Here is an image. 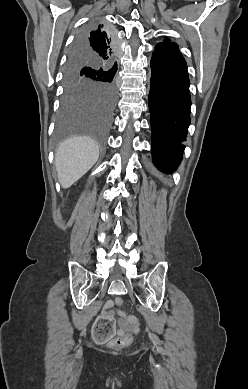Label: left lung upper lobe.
<instances>
[{
	"label": "left lung upper lobe",
	"mask_w": 248,
	"mask_h": 389,
	"mask_svg": "<svg viewBox=\"0 0 248 389\" xmlns=\"http://www.w3.org/2000/svg\"><path fill=\"white\" fill-rule=\"evenodd\" d=\"M159 44H173L170 40H165L163 41L162 43H159Z\"/></svg>",
	"instance_id": "left-lung-upper-lobe-1"
}]
</instances>
